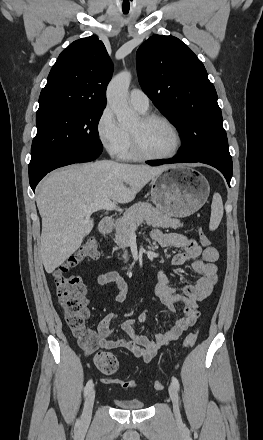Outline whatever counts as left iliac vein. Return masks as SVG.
Returning <instances> with one entry per match:
<instances>
[{"label":"left iliac vein","mask_w":263,"mask_h":440,"mask_svg":"<svg viewBox=\"0 0 263 440\" xmlns=\"http://www.w3.org/2000/svg\"><path fill=\"white\" fill-rule=\"evenodd\" d=\"M169 395H170V398H171L172 403H173L174 416H175L177 421H180L181 420V416H180V410H179L178 393H177V390H176V388H175V386L173 384L169 385Z\"/></svg>","instance_id":"obj_1"}]
</instances>
